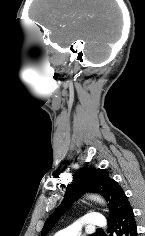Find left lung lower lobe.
<instances>
[{"label": "left lung lower lobe", "mask_w": 145, "mask_h": 236, "mask_svg": "<svg viewBox=\"0 0 145 236\" xmlns=\"http://www.w3.org/2000/svg\"><path fill=\"white\" fill-rule=\"evenodd\" d=\"M109 236H137V227L132 207L109 221Z\"/></svg>", "instance_id": "left-lung-lower-lobe-1"}]
</instances>
